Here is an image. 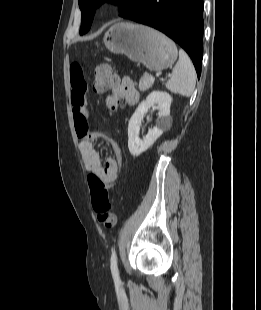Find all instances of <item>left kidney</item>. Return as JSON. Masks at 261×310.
Segmentation results:
<instances>
[{"label":"left kidney","instance_id":"left-kidney-1","mask_svg":"<svg viewBox=\"0 0 261 310\" xmlns=\"http://www.w3.org/2000/svg\"><path fill=\"white\" fill-rule=\"evenodd\" d=\"M172 97L163 91H153L142 101L132 115L128 124V148L134 157L145 152L162 135L163 130L170 126V106ZM158 108L156 126L149 129L143 140L139 138L140 125L144 115L150 108Z\"/></svg>","mask_w":261,"mask_h":310}]
</instances>
